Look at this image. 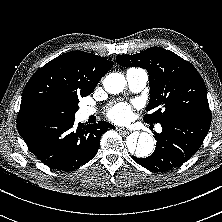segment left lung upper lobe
<instances>
[{
	"mask_svg": "<svg viewBox=\"0 0 222 222\" xmlns=\"http://www.w3.org/2000/svg\"><path fill=\"white\" fill-rule=\"evenodd\" d=\"M123 67H142L149 73L150 100L147 123H161L176 116L211 118L205 83L195 67L171 52L151 47L139 54L118 55Z\"/></svg>",
	"mask_w": 222,
	"mask_h": 222,
	"instance_id": "left-lung-upper-lobe-1",
	"label": "left lung upper lobe"
}]
</instances>
